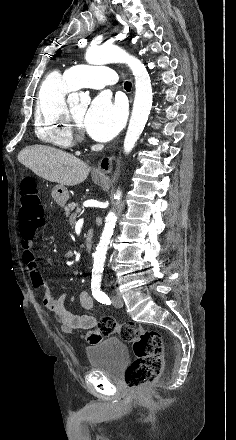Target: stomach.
Here are the masks:
<instances>
[{"label":"stomach","mask_w":236,"mask_h":440,"mask_svg":"<svg viewBox=\"0 0 236 440\" xmlns=\"http://www.w3.org/2000/svg\"><path fill=\"white\" fill-rule=\"evenodd\" d=\"M92 180L96 184H102L105 181V177L101 175H93ZM52 198L60 206L64 207L69 199V192L65 186L56 185L52 190Z\"/></svg>","instance_id":"stomach-1"}]
</instances>
